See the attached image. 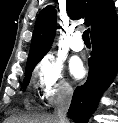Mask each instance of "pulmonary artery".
<instances>
[{
	"mask_svg": "<svg viewBox=\"0 0 118 123\" xmlns=\"http://www.w3.org/2000/svg\"><path fill=\"white\" fill-rule=\"evenodd\" d=\"M70 48L75 52H80L84 49V43L81 39V34L76 32L71 39Z\"/></svg>",
	"mask_w": 118,
	"mask_h": 123,
	"instance_id": "obj_1",
	"label": "pulmonary artery"
}]
</instances>
